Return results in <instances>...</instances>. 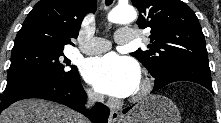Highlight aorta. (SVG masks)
<instances>
[{"instance_id": "1", "label": "aorta", "mask_w": 221, "mask_h": 123, "mask_svg": "<svg viewBox=\"0 0 221 123\" xmlns=\"http://www.w3.org/2000/svg\"><path fill=\"white\" fill-rule=\"evenodd\" d=\"M136 18V10L129 5L117 6L108 14V20L118 24H128L135 21Z\"/></svg>"}]
</instances>
